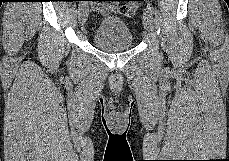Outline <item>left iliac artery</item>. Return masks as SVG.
<instances>
[{
	"label": "left iliac artery",
	"instance_id": "1",
	"mask_svg": "<svg viewBox=\"0 0 229 161\" xmlns=\"http://www.w3.org/2000/svg\"><path fill=\"white\" fill-rule=\"evenodd\" d=\"M147 9H148L151 13H153V11H154V7H153V5H152L151 3H148V4H147Z\"/></svg>",
	"mask_w": 229,
	"mask_h": 161
}]
</instances>
